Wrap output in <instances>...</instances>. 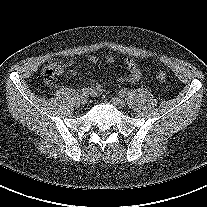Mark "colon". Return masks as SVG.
<instances>
[{"label": "colon", "mask_w": 207, "mask_h": 207, "mask_svg": "<svg viewBox=\"0 0 207 207\" xmlns=\"http://www.w3.org/2000/svg\"><path fill=\"white\" fill-rule=\"evenodd\" d=\"M59 74H61V67L59 62H52L45 67L43 71V79L46 84L53 85L55 83L56 76ZM155 78L160 82H164L167 78L166 71L162 69H156Z\"/></svg>", "instance_id": "5ec220e1"}]
</instances>
